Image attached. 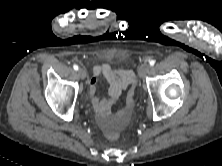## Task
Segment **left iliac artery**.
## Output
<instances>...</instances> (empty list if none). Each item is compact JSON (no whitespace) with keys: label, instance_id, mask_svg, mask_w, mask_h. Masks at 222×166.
<instances>
[{"label":"left iliac artery","instance_id":"obj_1","mask_svg":"<svg viewBox=\"0 0 222 166\" xmlns=\"http://www.w3.org/2000/svg\"><path fill=\"white\" fill-rule=\"evenodd\" d=\"M149 64H150V66H153L155 64V60H150Z\"/></svg>","mask_w":222,"mask_h":166}]
</instances>
